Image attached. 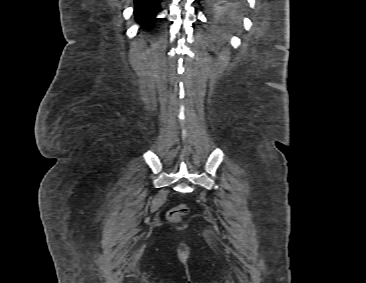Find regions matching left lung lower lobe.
Listing matches in <instances>:
<instances>
[{"instance_id":"left-lung-lower-lobe-1","label":"left lung lower lobe","mask_w":366,"mask_h":283,"mask_svg":"<svg viewBox=\"0 0 366 283\" xmlns=\"http://www.w3.org/2000/svg\"><path fill=\"white\" fill-rule=\"evenodd\" d=\"M214 13H234L242 8L245 0H203Z\"/></svg>"}]
</instances>
